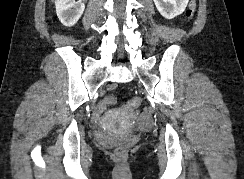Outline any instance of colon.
<instances>
[{
  "label": "colon",
  "mask_w": 244,
  "mask_h": 179,
  "mask_svg": "<svg viewBox=\"0 0 244 179\" xmlns=\"http://www.w3.org/2000/svg\"><path fill=\"white\" fill-rule=\"evenodd\" d=\"M196 4L192 2L186 12L188 18H191L195 14ZM115 96H102L101 100L104 101V104L112 105L115 104ZM143 105V99L141 95H138L137 98H134L133 101H127L126 104H122V109L125 112H128L129 109H140V106ZM116 155L119 158H123L124 155H128V147H116Z\"/></svg>",
  "instance_id": "1"
}]
</instances>
